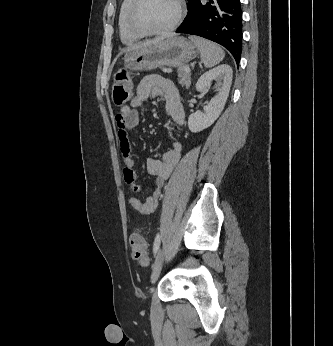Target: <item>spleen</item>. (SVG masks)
I'll list each match as a JSON object with an SVG mask.
<instances>
[{
    "instance_id": "1",
    "label": "spleen",
    "mask_w": 333,
    "mask_h": 346,
    "mask_svg": "<svg viewBox=\"0 0 333 346\" xmlns=\"http://www.w3.org/2000/svg\"><path fill=\"white\" fill-rule=\"evenodd\" d=\"M189 38L197 45L201 54V61L205 67H213L223 60L225 53L217 44L197 36H190Z\"/></svg>"
}]
</instances>
